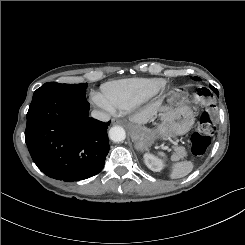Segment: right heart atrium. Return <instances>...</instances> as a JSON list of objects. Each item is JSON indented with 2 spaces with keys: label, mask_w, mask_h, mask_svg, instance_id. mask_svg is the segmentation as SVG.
Instances as JSON below:
<instances>
[{
  "label": "right heart atrium",
  "mask_w": 245,
  "mask_h": 245,
  "mask_svg": "<svg viewBox=\"0 0 245 245\" xmlns=\"http://www.w3.org/2000/svg\"><path fill=\"white\" fill-rule=\"evenodd\" d=\"M92 102L96 107H98V108H100L106 112H109V113L114 112V109L111 106V104L101 94H98V93L94 94L92 96Z\"/></svg>",
  "instance_id": "1"
}]
</instances>
